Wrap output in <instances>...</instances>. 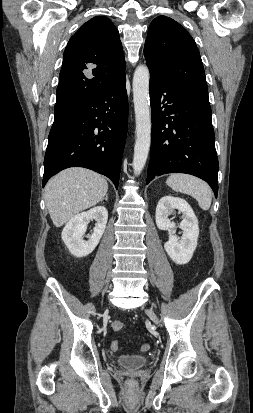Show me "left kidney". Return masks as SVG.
I'll return each instance as SVG.
<instances>
[{"label":"left kidney","mask_w":253,"mask_h":413,"mask_svg":"<svg viewBox=\"0 0 253 413\" xmlns=\"http://www.w3.org/2000/svg\"><path fill=\"white\" fill-rule=\"evenodd\" d=\"M174 209L183 214L179 226L182 229L181 239L175 235L176 224L168 218ZM155 219L159 229L168 231L169 239L164 248L169 257L179 265L188 263L197 247L199 235L198 220L191 206L182 198L164 196L157 204Z\"/></svg>","instance_id":"obj_1"}]
</instances>
